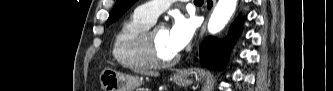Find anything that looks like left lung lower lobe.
I'll return each instance as SVG.
<instances>
[{
	"label": "left lung lower lobe",
	"mask_w": 333,
	"mask_h": 91,
	"mask_svg": "<svg viewBox=\"0 0 333 91\" xmlns=\"http://www.w3.org/2000/svg\"><path fill=\"white\" fill-rule=\"evenodd\" d=\"M212 3L209 1L208 7H211ZM243 17L234 22L230 28L228 37L222 42L218 43L213 37H207L201 43L199 47V62L202 66L221 70L227 63L228 55L231 47L235 42V37L239 33Z\"/></svg>",
	"instance_id": "1"
}]
</instances>
